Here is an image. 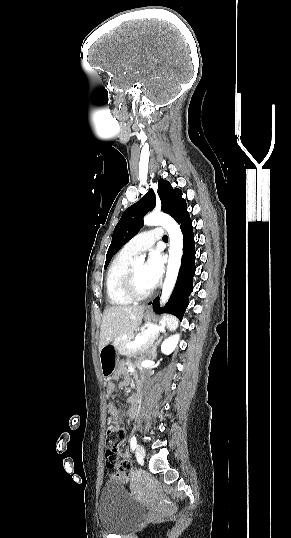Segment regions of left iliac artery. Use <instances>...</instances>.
Listing matches in <instances>:
<instances>
[{"instance_id": "left-iliac-artery-1", "label": "left iliac artery", "mask_w": 291, "mask_h": 538, "mask_svg": "<svg viewBox=\"0 0 291 538\" xmlns=\"http://www.w3.org/2000/svg\"><path fill=\"white\" fill-rule=\"evenodd\" d=\"M136 444H137L136 437H135V436H132V437H131V440H130V447H131V450H132V451L135 450V448H136Z\"/></svg>"}]
</instances>
